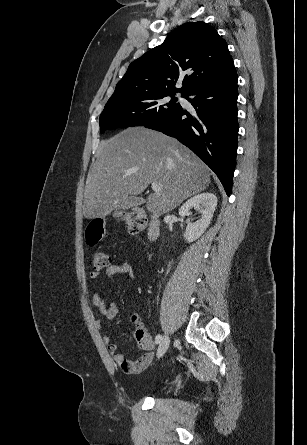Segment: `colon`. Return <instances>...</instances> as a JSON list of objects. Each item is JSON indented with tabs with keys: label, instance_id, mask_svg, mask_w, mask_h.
<instances>
[{
	"label": "colon",
	"instance_id": "colon-1",
	"mask_svg": "<svg viewBox=\"0 0 307 445\" xmlns=\"http://www.w3.org/2000/svg\"><path fill=\"white\" fill-rule=\"evenodd\" d=\"M127 225L128 230L132 234H140L146 227V218L138 212H124L118 215ZM106 221L102 218L93 219L88 223L85 229V241L88 246H96L106 235ZM94 269L99 271L108 268L110 265V257L102 250H94L91 254ZM137 324L135 338L141 346H147L151 342V337L141 326L139 318L134 317Z\"/></svg>",
	"mask_w": 307,
	"mask_h": 445
}]
</instances>
